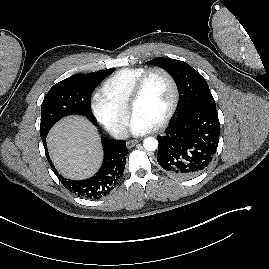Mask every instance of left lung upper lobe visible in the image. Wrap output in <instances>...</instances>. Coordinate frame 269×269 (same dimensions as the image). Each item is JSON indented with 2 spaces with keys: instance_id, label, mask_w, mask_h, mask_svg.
Masks as SVG:
<instances>
[{
  "instance_id": "5c2ea615",
  "label": "left lung upper lobe",
  "mask_w": 269,
  "mask_h": 269,
  "mask_svg": "<svg viewBox=\"0 0 269 269\" xmlns=\"http://www.w3.org/2000/svg\"><path fill=\"white\" fill-rule=\"evenodd\" d=\"M146 63L159 66L174 77L180 95L177 118L195 108H216L206 80L189 64L170 58H155Z\"/></svg>"
}]
</instances>
